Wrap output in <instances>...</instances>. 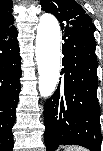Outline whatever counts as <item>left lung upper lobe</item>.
Listing matches in <instances>:
<instances>
[{
    "label": "left lung upper lobe",
    "instance_id": "1",
    "mask_svg": "<svg viewBox=\"0 0 103 151\" xmlns=\"http://www.w3.org/2000/svg\"><path fill=\"white\" fill-rule=\"evenodd\" d=\"M41 6L58 19L63 30L72 28L91 33L96 30L91 18L74 0H41Z\"/></svg>",
    "mask_w": 103,
    "mask_h": 151
}]
</instances>
